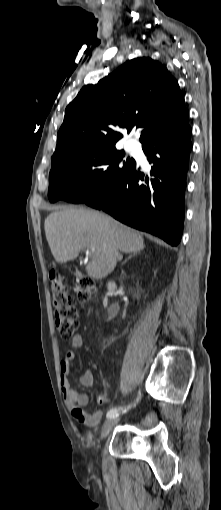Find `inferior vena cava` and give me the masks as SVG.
Listing matches in <instances>:
<instances>
[{
  "label": "inferior vena cava",
  "instance_id": "1",
  "mask_svg": "<svg viewBox=\"0 0 221 510\" xmlns=\"http://www.w3.org/2000/svg\"><path fill=\"white\" fill-rule=\"evenodd\" d=\"M116 256L120 258V255H119V253H118V252H116Z\"/></svg>",
  "mask_w": 221,
  "mask_h": 510
}]
</instances>
